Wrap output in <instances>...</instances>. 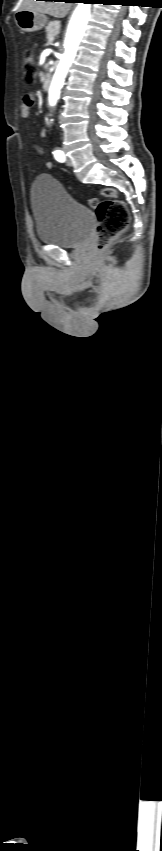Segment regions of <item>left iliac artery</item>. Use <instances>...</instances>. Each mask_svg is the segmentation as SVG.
Masks as SVG:
<instances>
[{
	"label": "left iliac artery",
	"mask_w": 162,
	"mask_h": 851,
	"mask_svg": "<svg viewBox=\"0 0 162 851\" xmlns=\"http://www.w3.org/2000/svg\"><path fill=\"white\" fill-rule=\"evenodd\" d=\"M53 154H54V157H55V159H56L57 161H59V162H64V161H65V155H64V152H63L62 150H59V149H58V150H55V151L53 152Z\"/></svg>",
	"instance_id": "left-iliac-artery-1"
}]
</instances>
